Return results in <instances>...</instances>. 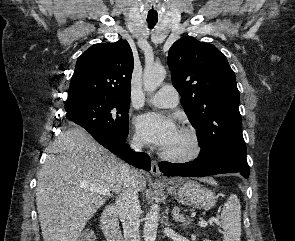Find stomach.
I'll return each mask as SVG.
<instances>
[{
	"label": "stomach",
	"mask_w": 295,
	"mask_h": 241,
	"mask_svg": "<svg viewBox=\"0 0 295 241\" xmlns=\"http://www.w3.org/2000/svg\"><path fill=\"white\" fill-rule=\"evenodd\" d=\"M167 192L181 204L208 210L215 206L214 193L193 180H173L167 183Z\"/></svg>",
	"instance_id": "obj_1"
}]
</instances>
